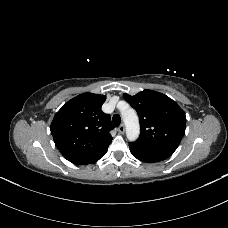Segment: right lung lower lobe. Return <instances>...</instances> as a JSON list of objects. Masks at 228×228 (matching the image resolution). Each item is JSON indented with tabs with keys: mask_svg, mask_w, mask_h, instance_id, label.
Wrapping results in <instances>:
<instances>
[{
	"mask_svg": "<svg viewBox=\"0 0 228 228\" xmlns=\"http://www.w3.org/2000/svg\"><path fill=\"white\" fill-rule=\"evenodd\" d=\"M107 151H108V146L104 147L92 154L86 155L84 157L70 160V162H72L74 164H79V165L94 163V162L98 161L100 158H102L106 154Z\"/></svg>",
	"mask_w": 228,
	"mask_h": 228,
	"instance_id": "obj_1",
	"label": "right lung lower lobe"
}]
</instances>
